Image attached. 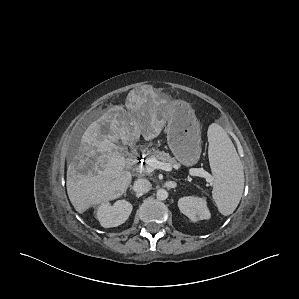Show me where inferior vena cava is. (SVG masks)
<instances>
[{
	"label": "inferior vena cava",
	"mask_w": 299,
	"mask_h": 299,
	"mask_svg": "<svg viewBox=\"0 0 299 299\" xmlns=\"http://www.w3.org/2000/svg\"><path fill=\"white\" fill-rule=\"evenodd\" d=\"M152 188V184L149 180L141 178L137 179L134 183V190L138 193H146L150 191Z\"/></svg>",
	"instance_id": "obj_1"
}]
</instances>
